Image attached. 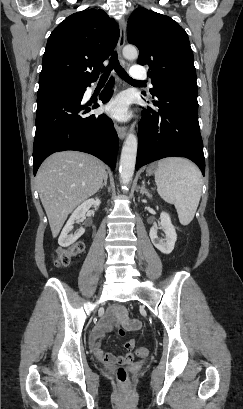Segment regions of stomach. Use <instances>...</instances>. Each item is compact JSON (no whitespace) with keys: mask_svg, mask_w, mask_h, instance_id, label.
Masks as SVG:
<instances>
[{"mask_svg":"<svg viewBox=\"0 0 243 409\" xmlns=\"http://www.w3.org/2000/svg\"><path fill=\"white\" fill-rule=\"evenodd\" d=\"M156 170H157V168H156L155 165H150V166L147 168V174H148V175H152L153 173L156 172Z\"/></svg>","mask_w":243,"mask_h":409,"instance_id":"1","label":"stomach"}]
</instances>
